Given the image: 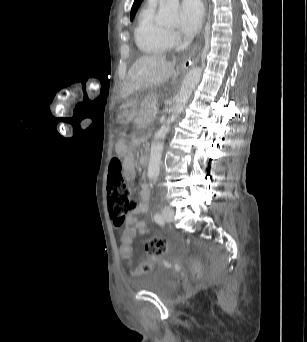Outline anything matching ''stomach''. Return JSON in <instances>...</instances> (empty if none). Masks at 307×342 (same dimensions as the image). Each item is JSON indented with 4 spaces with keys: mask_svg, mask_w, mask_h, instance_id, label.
Masks as SVG:
<instances>
[{
    "mask_svg": "<svg viewBox=\"0 0 307 342\" xmlns=\"http://www.w3.org/2000/svg\"><path fill=\"white\" fill-rule=\"evenodd\" d=\"M138 112V101L135 99H129L125 101L118 109L117 121L118 123L125 125L134 119Z\"/></svg>",
    "mask_w": 307,
    "mask_h": 342,
    "instance_id": "1",
    "label": "stomach"
}]
</instances>
